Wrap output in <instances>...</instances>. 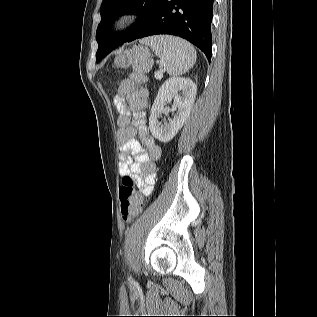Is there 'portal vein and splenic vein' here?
<instances>
[{"mask_svg": "<svg viewBox=\"0 0 317 317\" xmlns=\"http://www.w3.org/2000/svg\"><path fill=\"white\" fill-rule=\"evenodd\" d=\"M162 77H163L162 72L158 71V72L155 73V78L156 79H161Z\"/></svg>", "mask_w": 317, "mask_h": 317, "instance_id": "18ae733b", "label": "portal vein and splenic vein"}]
</instances>
